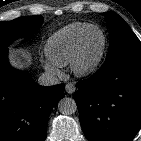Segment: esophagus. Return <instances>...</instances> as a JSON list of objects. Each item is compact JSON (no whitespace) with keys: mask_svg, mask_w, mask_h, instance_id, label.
Segmentation results:
<instances>
[{"mask_svg":"<svg viewBox=\"0 0 141 141\" xmlns=\"http://www.w3.org/2000/svg\"><path fill=\"white\" fill-rule=\"evenodd\" d=\"M76 88L75 85L73 83H67L65 86V91L68 94H73L75 92Z\"/></svg>","mask_w":141,"mask_h":141,"instance_id":"1","label":"esophagus"}]
</instances>
